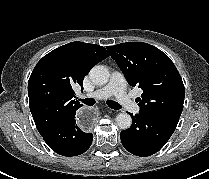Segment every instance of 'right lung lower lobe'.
<instances>
[{"label":"right lung lower lobe","instance_id":"98d812e1","mask_svg":"<svg viewBox=\"0 0 209 179\" xmlns=\"http://www.w3.org/2000/svg\"><path fill=\"white\" fill-rule=\"evenodd\" d=\"M41 136L54 152L63 156H77L84 153L93 140L92 133H86L77 126L75 112Z\"/></svg>","mask_w":209,"mask_h":179}]
</instances>
